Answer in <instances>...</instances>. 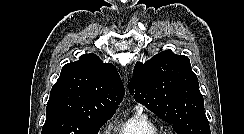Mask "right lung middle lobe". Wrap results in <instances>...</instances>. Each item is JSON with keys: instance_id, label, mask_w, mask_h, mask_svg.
<instances>
[{"instance_id": "obj_1", "label": "right lung middle lobe", "mask_w": 244, "mask_h": 134, "mask_svg": "<svg viewBox=\"0 0 244 134\" xmlns=\"http://www.w3.org/2000/svg\"><path fill=\"white\" fill-rule=\"evenodd\" d=\"M112 116H80L53 107L46 110L42 134H98L100 127Z\"/></svg>"}]
</instances>
